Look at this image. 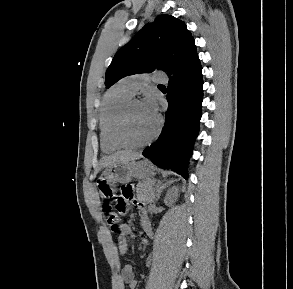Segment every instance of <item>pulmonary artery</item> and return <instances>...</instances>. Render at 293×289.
<instances>
[{
  "mask_svg": "<svg viewBox=\"0 0 293 289\" xmlns=\"http://www.w3.org/2000/svg\"><path fill=\"white\" fill-rule=\"evenodd\" d=\"M165 82L166 78L162 72H154L152 74H134L127 76L121 80V84L131 94L135 95L137 91L149 82Z\"/></svg>",
  "mask_w": 293,
  "mask_h": 289,
  "instance_id": "pulmonary-artery-1",
  "label": "pulmonary artery"
}]
</instances>
